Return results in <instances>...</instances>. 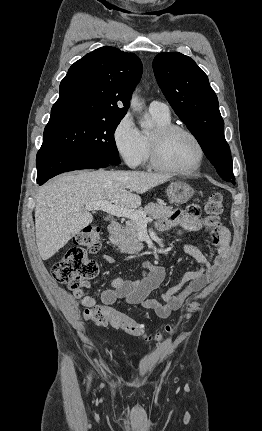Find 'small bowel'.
Returning a JSON list of instances; mask_svg holds the SVG:
<instances>
[{
  "instance_id": "c3829d8e",
  "label": "small bowel",
  "mask_w": 262,
  "mask_h": 431,
  "mask_svg": "<svg viewBox=\"0 0 262 431\" xmlns=\"http://www.w3.org/2000/svg\"><path fill=\"white\" fill-rule=\"evenodd\" d=\"M176 225L189 231H199L202 227L212 229V240L217 250L214 263L209 262L196 246L185 245L184 251L200 263V269L186 273L181 282L162 294L161 301L151 297V294L163 282L165 270L162 266L148 261L142 265V277L140 279H113L111 288L103 291L100 304H97L93 297L86 295L84 290H74L72 295L85 308L87 318L94 316L97 311H101L103 316H110L115 313L112 306L117 300H124L128 305H140L143 308L153 310L160 318H168L172 312L182 307L188 297L200 291L215 277L217 272L225 266L229 254L230 233L227 227L221 223L217 216L200 218L198 214L187 215L180 211H174L169 219L159 223L158 228L160 231H167ZM103 260L109 264L113 262L109 256H104Z\"/></svg>"
}]
</instances>
